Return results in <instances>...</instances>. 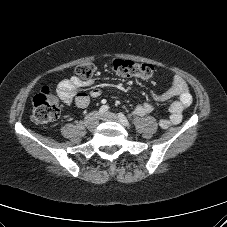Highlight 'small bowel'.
I'll list each match as a JSON object with an SVG mask.
<instances>
[{"mask_svg":"<svg viewBox=\"0 0 227 227\" xmlns=\"http://www.w3.org/2000/svg\"><path fill=\"white\" fill-rule=\"evenodd\" d=\"M93 84L92 80H84L79 77L73 76L70 79L61 81L57 86V93L60 99L67 105L72 102L79 108H85L89 105L90 98H98L102 95V90L98 87L93 88L89 94L79 91L82 88L90 87ZM172 97H177L169 105L170 115L168 119L161 121V127L166 128L171 125H176L181 122L183 112L192 103V96L185 80L175 75L171 86L161 95L156 97V101H166ZM153 103L147 101L143 104H138L134 108V112L138 115L147 114Z\"/></svg>","mask_w":227,"mask_h":227,"instance_id":"obj_1","label":"small bowel"}]
</instances>
